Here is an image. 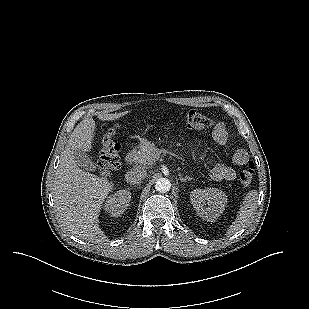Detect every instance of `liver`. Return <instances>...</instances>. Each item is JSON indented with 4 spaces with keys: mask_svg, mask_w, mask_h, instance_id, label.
Instances as JSON below:
<instances>
[{
    "mask_svg": "<svg viewBox=\"0 0 309 309\" xmlns=\"http://www.w3.org/2000/svg\"><path fill=\"white\" fill-rule=\"evenodd\" d=\"M128 113L105 114L99 119L113 121ZM95 129L94 119L86 118L72 132L55 172L53 200L63 227L78 238L101 244L107 237L99 227V213L114 185L80 169L74 158L76 149L91 150Z\"/></svg>",
    "mask_w": 309,
    "mask_h": 309,
    "instance_id": "1",
    "label": "liver"
}]
</instances>
